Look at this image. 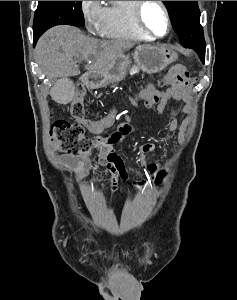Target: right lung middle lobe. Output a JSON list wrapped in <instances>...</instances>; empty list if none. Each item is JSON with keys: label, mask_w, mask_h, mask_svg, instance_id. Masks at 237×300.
I'll return each mask as SVG.
<instances>
[{"label": "right lung middle lobe", "mask_w": 237, "mask_h": 300, "mask_svg": "<svg viewBox=\"0 0 237 300\" xmlns=\"http://www.w3.org/2000/svg\"><path fill=\"white\" fill-rule=\"evenodd\" d=\"M82 1H38L34 15V44L49 28L55 25L67 24L76 27L85 25Z\"/></svg>", "instance_id": "obj_1"}]
</instances>
